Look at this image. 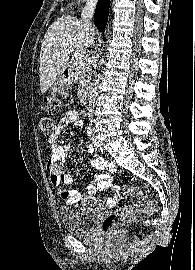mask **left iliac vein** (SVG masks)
<instances>
[{"label":"left iliac vein","instance_id":"4c4485c4","mask_svg":"<svg viewBox=\"0 0 195 270\" xmlns=\"http://www.w3.org/2000/svg\"><path fill=\"white\" fill-rule=\"evenodd\" d=\"M92 143L94 145V147L99 150V151H103V148L101 146V144L98 141V135H97V130L96 128H93V134H92Z\"/></svg>","mask_w":195,"mask_h":270}]
</instances>
